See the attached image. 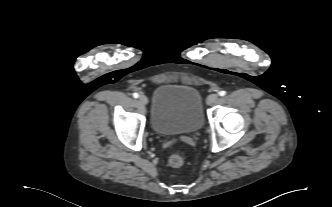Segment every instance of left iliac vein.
Returning <instances> with one entry per match:
<instances>
[{
  "instance_id": "left-iliac-vein-1",
  "label": "left iliac vein",
  "mask_w": 332,
  "mask_h": 207,
  "mask_svg": "<svg viewBox=\"0 0 332 207\" xmlns=\"http://www.w3.org/2000/svg\"><path fill=\"white\" fill-rule=\"evenodd\" d=\"M219 100V95L218 94H211L207 97V104L208 105H213L217 103Z\"/></svg>"
}]
</instances>
